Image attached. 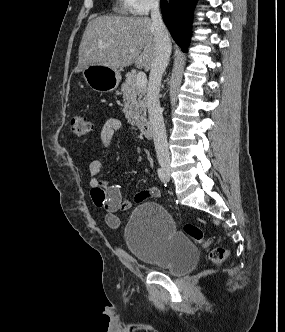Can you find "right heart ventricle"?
Segmentation results:
<instances>
[{"mask_svg":"<svg viewBox=\"0 0 285 332\" xmlns=\"http://www.w3.org/2000/svg\"><path fill=\"white\" fill-rule=\"evenodd\" d=\"M115 10L119 13H126L128 11L125 0H117Z\"/></svg>","mask_w":285,"mask_h":332,"instance_id":"e07e8e85","label":"right heart ventricle"}]
</instances>
